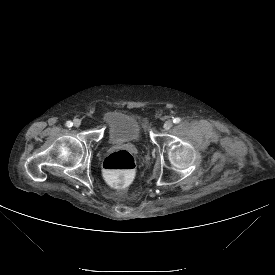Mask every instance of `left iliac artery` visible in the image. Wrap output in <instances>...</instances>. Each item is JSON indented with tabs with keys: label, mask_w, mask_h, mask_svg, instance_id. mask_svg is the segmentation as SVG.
<instances>
[{
	"label": "left iliac artery",
	"mask_w": 275,
	"mask_h": 275,
	"mask_svg": "<svg viewBox=\"0 0 275 275\" xmlns=\"http://www.w3.org/2000/svg\"><path fill=\"white\" fill-rule=\"evenodd\" d=\"M180 121H181V119H180L179 117H176V118L173 119V122H174L175 124L180 123Z\"/></svg>",
	"instance_id": "1"
}]
</instances>
